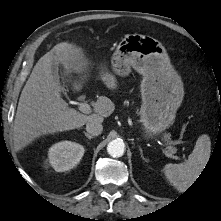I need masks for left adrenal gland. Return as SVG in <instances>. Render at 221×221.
Masks as SVG:
<instances>
[{
  "instance_id": "a2214340",
  "label": "left adrenal gland",
  "mask_w": 221,
  "mask_h": 221,
  "mask_svg": "<svg viewBox=\"0 0 221 221\" xmlns=\"http://www.w3.org/2000/svg\"><path fill=\"white\" fill-rule=\"evenodd\" d=\"M139 150H140V154H141L142 159H143L145 162H147L148 160H147L146 158H144V156H143V150H142V148L139 147Z\"/></svg>"
}]
</instances>
